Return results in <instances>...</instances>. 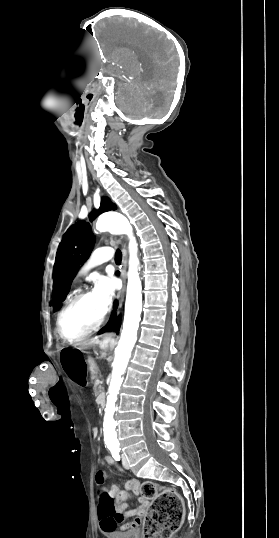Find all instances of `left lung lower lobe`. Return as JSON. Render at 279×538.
<instances>
[{"label":"left lung lower lobe","mask_w":279,"mask_h":538,"mask_svg":"<svg viewBox=\"0 0 279 538\" xmlns=\"http://www.w3.org/2000/svg\"><path fill=\"white\" fill-rule=\"evenodd\" d=\"M115 308H117V303L115 305ZM121 318L119 317L118 319L116 318L115 315H113L110 319V321L107 323V325L105 327H103L98 333L99 334H102L108 330H112V329H116L117 331H119V328H120V324H121Z\"/></svg>","instance_id":"1"}]
</instances>
